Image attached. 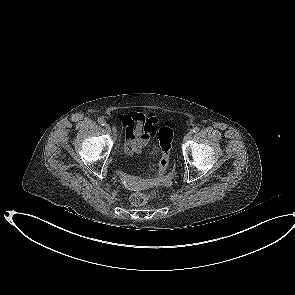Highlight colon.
Instances as JSON below:
<instances>
[{"label": "colon", "instance_id": "5ec220e1", "mask_svg": "<svg viewBox=\"0 0 295 295\" xmlns=\"http://www.w3.org/2000/svg\"><path fill=\"white\" fill-rule=\"evenodd\" d=\"M174 126L166 124L158 130V139L161 149V159L158 165V175L163 176L169 166L171 142L173 139ZM157 192L151 191H137L132 194L131 202L135 206H144L147 202L156 197Z\"/></svg>", "mask_w": 295, "mask_h": 295}]
</instances>
